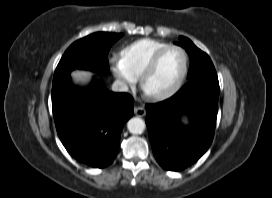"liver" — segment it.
<instances>
[{"instance_id":"6515ba94","label":"liver","mask_w":272,"mask_h":198,"mask_svg":"<svg viewBox=\"0 0 272 198\" xmlns=\"http://www.w3.org/2000/svg\"><path fill=\"white\" fill-rule=\"evenodd\" d=\"M92 75H93L92 72L86 70H74L71 73L73 81L82 87H86L89 85L90 78Z\"/></svg>"}]
</instances>
